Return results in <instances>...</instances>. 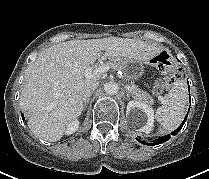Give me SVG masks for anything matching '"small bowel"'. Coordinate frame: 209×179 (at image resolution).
Wrapping results in <instances>:
<instances>
[{"mask_svg":"<svg viewBox=\"0 0 209 179\" xmlns=\"http://www.w3.org/2000/svg\"><path fill=\"white\" fill-rule=\"evenodd\" d=\"M163 88H164V83L162 81H159L156 85V91L160 92L163 90Z\"/></svg>","mask_w":209,"mask_h":179,"instance_id":"1","label":"small bowel"}]
</instances>
